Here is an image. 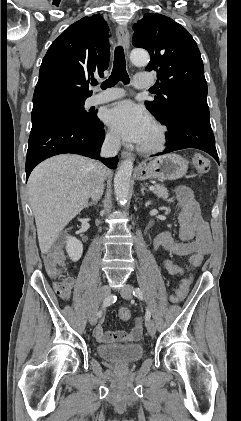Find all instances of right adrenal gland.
<instances>
[{
  "mask_svg": "<svg viewBox=\"0 0 241 421\" xmlns=\"http://www.w3.org/2000/svg\"><path fill=\"white\" fill-rule=\"evenodd\" d=\"M97 204V201H92V202H89L87 205H86V207L88 208L89 206H95Z\"/></svg>",
  "mask_w": 241,
  "mask_h": 421,
  "instance_id": "1",
  "label": "right adrenal gland"
}]
</instances>
